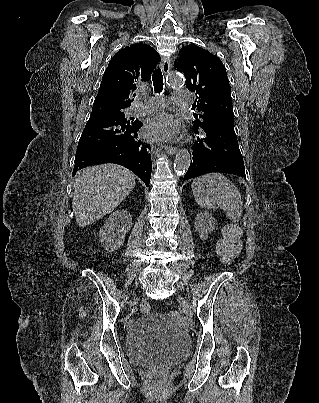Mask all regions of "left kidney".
<instances>
[{
	"instance_id": "5707ae66",
	"label": "left kidney",
	"mask_w": 319,
	"mask_h": 403,
	"mask_svg": "<svg viewBox=\"0 0 319 403\" xmlns=\"http://www.w3.org/2000/svg\"><path fill=\"white\" fill-rule=\"evenodd\" d=\"M195 229L199 233L200 239L206 240L208 234L215 229V219L209 213H198L195 218Z\"/></svg>"
}]
</instances>
